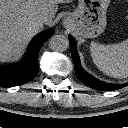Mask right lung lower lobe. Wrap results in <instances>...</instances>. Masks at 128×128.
<instances>
[{
	"label": "right lung lower lobe",
	"instance_id": "98d812e1",
	"mask_svg": "<svg viewBox=\"0 0 128 128\" xmlns=\"http://www.w3.org/2000/svg\"><path fill=\"white\" fill-rule=\"evenodd\" d=\"M54 30L42 32L34 39V43L26 57L12 66H0V86H18L31 81L38 73V56L42 44Z\"/></svg>",
	"mask_w": 128,
	"mask_h": 128
}]
</instances>
